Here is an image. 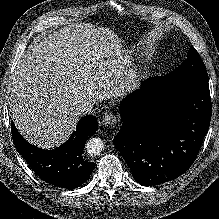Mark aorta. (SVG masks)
<instances>
[{
	"label": "aorta",
	"instance_id": "762f6f07",
	"mask_svg": "<svg viewBox=\"0 0 219 219\" xmlns=\"http://www.w3.org/2000/svg\"><path fill=\"white\" fill-rule=\"evenodd\" d=\"M85 148L88 154L99 155L104 150V142L100 138H90Z\"/></svg>",
	"mask_w": 219,
	"mask_h": 219
}]
</instances>
